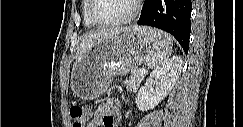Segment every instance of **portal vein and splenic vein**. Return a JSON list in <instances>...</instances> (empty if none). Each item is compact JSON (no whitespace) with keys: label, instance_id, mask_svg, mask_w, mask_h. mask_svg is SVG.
<instances>
[{"label":"portal vein and splenic vein","instance_id":"obj_1","mask_svg":"<svg viewBox=\"0 0 243 127\" xmlns=\"http://www.w3.org/2000/svg\"><path fill=\"white\" fill-rule=\"evenodd\" d=\"M138 72L141 73V74H145L146 73V70H140Z\"/></svg>","mask_w":243,"mask_h":127}]
</instances>
